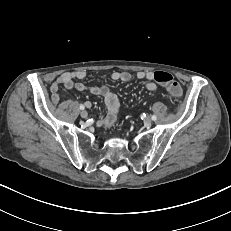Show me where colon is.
Listing matches in <instances>:
<instances>
[{
    "label": "colon",
    "mask_w": 231,
    "mask_h": 231,
    "mask_svg": "<svg viewBox=\"0 0 231 231\" xmlns=\"http://www.w3.org/2000/svg\"><path fill=\"white\" fill-rule=\"evenodd\" d=\"M153 79L157 83L166 86L167 91L172 96H180L182 94V88L181 86L173 80V76L166 71H155L153 73Z\"/></svg>",
    "instance_id": "colon-1"
}]
</instances>
